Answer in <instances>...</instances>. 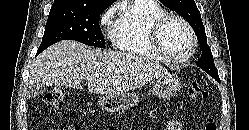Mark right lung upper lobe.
I'll return each instance as SVG.
<instances>
[{"instance_id": "cb5924a9", "label": "right lung upper lobe", "mask_w": 249, "mask_h": 130, "mask_svg": "<svg viewBox=\"0 0 249 130\" xmlns=\"http://www.w3.org/2000/svg\"><path fill=\"white\" fill-rule=\"evenodd\" d=\"M115 0H54L53 5L68 4L82 7H108Z\"/></svg>"}]
</instances>
